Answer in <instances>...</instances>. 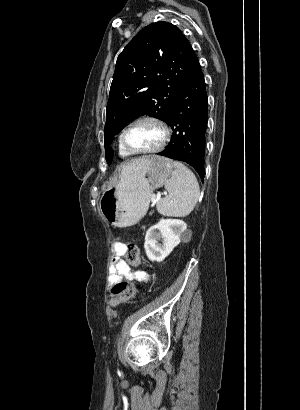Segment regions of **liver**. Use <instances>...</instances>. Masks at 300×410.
I'll return each mask as SVG.
<instances>
[{
    "label": "liver",
    "instance_id": "liver-1",
    "mask_svg": "<svg viewBox=\"0 0 300 410\" xmlns=\"http://www.w3.org/2000/svg\"><path fill=\"white\" fill-rule=\"evenodd\" d=\"M147 157H142L139 159H133L128 164L127 167H135L136 165H143L146 163Z\"/></svg>",
    "mask_w": 300,
    "mask_h": 410
}]
</instances>
